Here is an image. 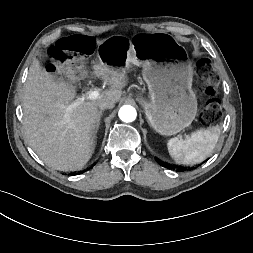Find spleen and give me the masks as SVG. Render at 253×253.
Masks as SVG:
<instances>
[{"mask_svg": "<svg viewBox=\"0 0 253 253\" xmlns=\"http://www.w3.org/2000/svg\"><path fill=\"white\" fill-rule=\"evenodd\" d=\"M219 136V126H213L197 130L185 140L171 138L167 143L168 152L177 164L201 163L212 154Z\"/></svg>", "mask_w": 253, "mask_h": 253, "instance_id": "1", "label": "spleen"}]
</instances>
